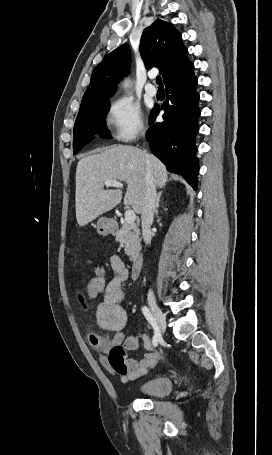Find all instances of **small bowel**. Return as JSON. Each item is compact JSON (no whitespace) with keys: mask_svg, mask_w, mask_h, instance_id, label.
<instances>
[{"mask_svg":"<svg viewBox=\"0 0 272 455\" xmlns=\"http://www.w3.org/2000/svg\"><path fill=\"white\" fill-rule=\"evenodd\" d=\"M110 266L113 275L105 286L103 301L98 304L95 310L97 325L100 329L114 332L113 342L123 345L127 351L136 350L141 341L145 353L140 360H128L127 368L123 372L114 370L104 354L99 355V361L110 371L119 373L124 382H129L146 375L153 369L159 362L160 355L152 347L151 340L146 334L128 337L125 335L124 328L127 324V312L122 304L124 299L122 284L128 279V270L122 259L117 255L110 257ZM77 299L83 307L86 306L88 298L84 297L79 291Z\"/></svg>","mask_w":272,"mask_h":455,"instance_id":"small-bowel-1","label":"small bowel"}]
</instances>
